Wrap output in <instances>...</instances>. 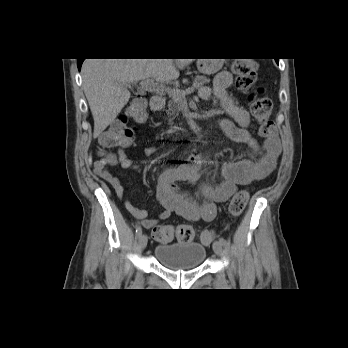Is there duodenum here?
<instances>
[{"label":"duodenum","instance_id":"1","mask_svg":"<svg viewBox=\"0 0 348 348\" xmlns=\"http://www.w3.org/2000/svg\"><path fill=\"white\" fill-rule=\"evenodd\" d=\"M164 106V100L161 97L154 96L150 100V108L153 111H160Z\"/></svg>","mask_w":348,"mask_h":348}]
</instances>
